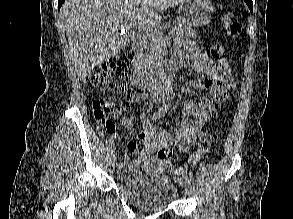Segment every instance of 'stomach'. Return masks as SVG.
Wrapping results in <instances>:
<instances>
[{
	"mask_svg": "<svg viewBox=\"0 0 293 219\" xmlns=\"http://www.w3.org/2000/svg\"><path fill=\"white\" fill-rule=\"evenodd\" d=\"M180 18L194 27H202L210 23L214 7L209 0H184L179 5Z\"/></svg>",
	"mask_w": 293,
	"mask_h": 219,
	"instance_id": "0dacf381",
	"label": "stomach"
}]
</instances>
